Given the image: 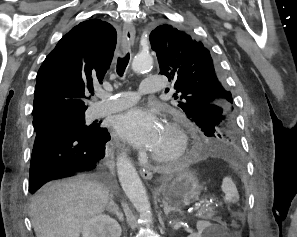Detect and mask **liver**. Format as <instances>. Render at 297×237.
Returning <instances> with one entry per match:
<instances>
[{"label":"liver","mask_w":297,"mask_h":237,"mask_svg":"<svg viewBox=\"0 0 297 237\" xmlns=\"http://www.w3.org/2000/svg\"><path fill=\"white\" fill-rule=\"evenodd\" d=\"M109 190L89 176L45 185L30 203L36 237H79L85 223L104 212Z\"/></svg>","instance_id":"liver-1"}]
</instances>
